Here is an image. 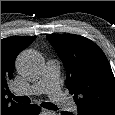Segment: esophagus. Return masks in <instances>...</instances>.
<instances>
[{
	"label": "esophagus",
	"instance_id": "1",
	"mask_svg": "<svg viewBox=\"0 0 115 115\" xmlns=\"http://www.w3.org/2000/svg\"><path fill=\"white\" fill-rule=\"evenodd\" d=\"M42 113L44 115H55V111L48 110V109H42Z\"/></svg>",
	"mask_w": 115,
	"mask_h": 115
}]
</instances>
